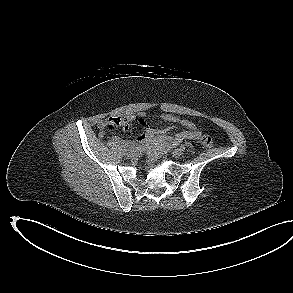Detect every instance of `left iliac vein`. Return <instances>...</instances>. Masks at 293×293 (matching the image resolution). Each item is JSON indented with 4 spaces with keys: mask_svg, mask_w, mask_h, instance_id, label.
<instances>
[{
    "mask_svg": "<svg viewBox=\"0 0 293 293\" xmlns=\"http://www.w3.org/2000/svg\"><path fill=\"white\" fill-rule=\"evenodd\" d=\"M183 152L181 149L177 148L173 151V155L176 157V158H180L182 156Z\"/></svg>",
    "mask_w": 293,
    "mask_h": 293,
    "instance_id": "obj_1",
    "label": "left iliac vein"
}]
</instances>
